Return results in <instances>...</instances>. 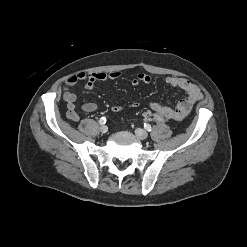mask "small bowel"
Listing matches in <instances>:
<instances>
[{"instance_id": "c3829d8e", "label": "small bowel", "mask_w": 247, "mask_h": 247, "mask_svg": "<svg viewBox=\"0 0 247 247\" xmlns=\"http://www.w3.org/2000/svg\"><path fill=\"white\" fill-rule=\"evenodd\" d=\"M121 77L119 71H114L110 73L103 72H93V73H78L70 76L66 79L65 85L63 87V99L66 103V116L72 121H78L80 119V114L76 108V95L71 91V88L78 83H83L87 89H92L95 84L99 81L115 80ZM152 82V78L146 73H139L136 77L131 80L132 86H139L141 84H149ZM165 83L181 89L185 92L186 97L180 100L176 107L172 108L169 106L162 105L157 102H153L150 108L154 112H158L164 115L167 119L171 120H182L188 116L193 105L201 99L202 93L200 89L193 84L190 80L186 78L168 76L165 78ZM139 103L132 102L128 105L129 108H136ZM124 109L121 105H112L111 110L114 112H119ZM83 112L89 113L97 110V104L94 102H87L81 106Z\"/></svg>"}]
</instances>
